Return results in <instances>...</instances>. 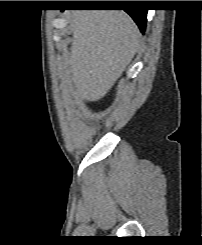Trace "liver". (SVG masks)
I'll use <instances>...</instances> for the list:
<instances>
[{
	"mask_svg": "<svg viewBox=\"0 0 202 245\" xmlns=\"http://www.w3.org/2000/svg\"><path fill=\"white\" fill-rule=\"evenodd\" d=\"M73 38L65 58L75 97L98 101L112 88L139 47L140 31L118 10H77L71 14Z\"/></svg>",
	"mask_w": 202,
	"mask_h": 245,
	"instance_id": "liver-1",
	"label": "liver"
}]
</instances>
